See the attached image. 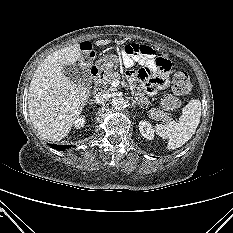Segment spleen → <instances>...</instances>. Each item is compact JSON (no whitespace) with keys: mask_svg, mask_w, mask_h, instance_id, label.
Here are the masks:
<instances>
[{"mask_svg":"<svg viewBox=\"0 0 233 233\" xmlns=\"http://www.w3.org/2000/svg\"><path fill=\"white\" fill-rule=\"evenodd\" d=\"M200 100H190L182 109L179 121H170L168 124H157L155 131L158 136L168 139L167 148L176 149L184 145L195 133L201 118Z\"/></svg>","mask_w":233,"mask_h":233,"instance_id":"3e777b00","label":"spleen"}]
</instances>
